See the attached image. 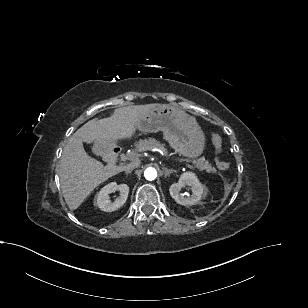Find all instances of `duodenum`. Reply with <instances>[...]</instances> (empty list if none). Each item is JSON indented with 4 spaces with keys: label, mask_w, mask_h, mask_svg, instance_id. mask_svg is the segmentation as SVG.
<instances>
[{
    "label": "duodenum",
    "mask_w": 308,
    "mask_h": 308,
    "mask_svg": "<svg viewBox=\"0 0 308 308\" xmlns=\"http://www.w3.org/2000/svg\"><path fill=\"white\" fill-rule=\"evenodd\" d=\"M121 153L122 149L116 145H112L104 151V154L111 160H117Z\"/></svg>",
    "instance_id": "duodenum-1"
}]
</instances>
